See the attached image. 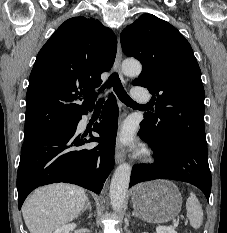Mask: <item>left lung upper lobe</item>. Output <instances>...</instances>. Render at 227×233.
Returning a JSON list of instances; mask_svg holds the SVG:
<instances>
[{"mask_svg":"<svg viewBox=\"0 0 227 233\" xmlns=\"http://www.w3.org/2000/svg\"><path fill=\"white\" fill-rule=\"evenodd\" d=\"M123 52L141 61L133 85L153 94L154 113H146L141 131L154 142L185 137L206 146L204 88L193 50L171 24L151 14L141 15L120 36Z\"/></svg>","mask_w":227,"mask_h":233,"instance_id":"left-lung-upper-lobe-1","label":"left lung upper lobe"}]
</instances>
